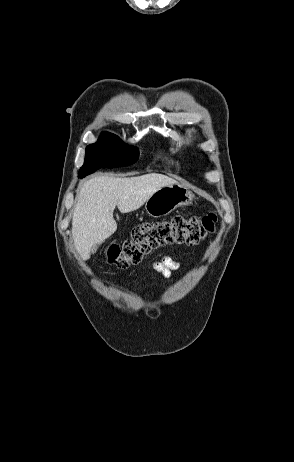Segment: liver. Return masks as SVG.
<instances>
[{
    "label": "liver",
    "instance_id": "obj_1",
    "mask_svg": "<svg viewBox=\"0 0 294 462\" xmlns=\"http://www.w3.org/2000/svg\"><path fill=\"white\" fill-rule=\"evenodd\" d=\"M177 184L162 174L115 178L97 176L86 181L78 195L72 217L74 244L86 260L91 249L102 244L117 229L113 211L117 206L123 214L139 209L160 188Z\"/></svg>",
    "mask_w": 294,
    "mask_h": 462
}]
</instances>
